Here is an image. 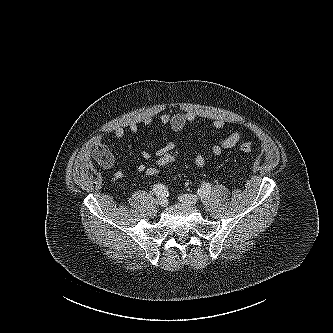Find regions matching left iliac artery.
<instances>
[{
	"label": "left iliac artery",
	"mask_w": 333,
	"mask_h": 333,
	"mask_svg": "<svg viewBox=\"0 0 333 333\" xmlns=\"http://www.w3.org/2000/svg\"><path fill=\"white\" fill-rule=\"evenodd\" d=\"M210 191H211V184L210 183H204L201 186L200 190H198V194H199V196L204 197V196H207L210 193Z\"/></svg>",
	"instance_id": "44dca946"
}]
</instances>
